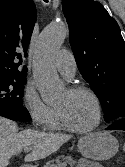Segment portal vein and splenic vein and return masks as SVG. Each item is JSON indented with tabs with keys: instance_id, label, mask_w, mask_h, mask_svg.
Masks as SVG:
<instances>
[{
	"instance_id": "18ae733b",
	"label": "portal vein and splenic vein",
	"mask_w": 125,
	"mask_h": 167,
	"mask_svg": "<svg viewBox=\"0 0 125 167\" xmlns=\"http://www.w3.org/2000/svg\"><path fill=\"white\" fill-rule=\"evenodd\" d=\"M30 150H31V147H25L24 148V152H26V153H28ZM66 166H67V163L63 162V163H60L58 165H55L54 167H66Z\"/></svg>"
}]
</instances>
